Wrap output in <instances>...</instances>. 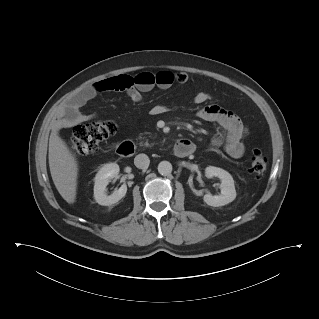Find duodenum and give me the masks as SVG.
Listing matches in <instances>:
<instances>
[{
	"label": "duodenum",
	"mask_w": 319,
	"mask_h": 319,
	"mask_svg": "<svg viewBox=\"0 0 319 319\" xmlns=\"http://www.w3.org/2000/svg\"><path fill=\"white\" fill-rule=\"evenodd\" d=\"M135 145L131 141H124L117 147V153L120 156L126 157L134 152ZM195 146L192 141L188 139L179 140L174 146V155L180 158L187 157L194 152Z\"/></svg>",
	"instance_id": "duodenum-1"
}]
</instances>
